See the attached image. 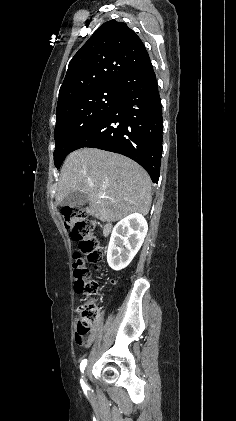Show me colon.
Here are the masks:
<instances>
[{"mask_svg":"<svg viewBox=\"0 0 236 421\" xmlns=\"http://www.w3.org/2000/svg\"><path fill=\"white\" fill-rule=\"evenodd\" d=\"M64 223L71 238L78 243V251L73 255L75 291L79 294H95L98 283L93 279L86 261L97 263L102 259V249L94 226L86 220V211L81 207H69L63 212ZM101 317L100 309L91 301H84L78 308L75 342L84 344V339Z\"/></svg>","mask_w":236,"mask_h":421,"instance_id":"colon-1","label":"colon"}]
</instances>
